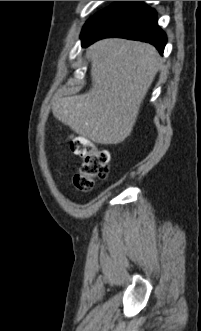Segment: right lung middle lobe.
I'll use <instances>...</instances> for the list:
<instances>
[{
  "mask_svg": "<svg viewBox=\"0 0 201 331\" xmlns=\"http://www.w3.org/2000/svg\"><path fill=\"white\" fill-rule=\"evenodd\" d=\"M107 10L100 12L90 18L84 25L82 33L86 32L96 21H98Z\"/></svg>",
  "mask_w": 201,
  "mask_h": 331,
  "instance_id": "dd1d6c3e",
  "label": "right lung middle lobe"
}]
</instances>
